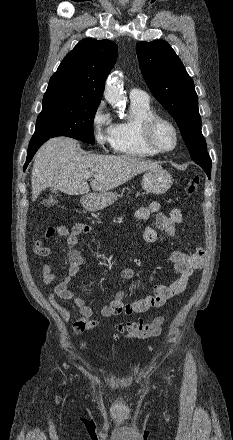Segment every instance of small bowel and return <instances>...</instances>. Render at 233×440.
I'll list each match as a JSON object with an SVG mask.
<instances>
[{
	"label": "small bowel",
	"mask_w": 233,
	"mask_h": 440,
	"mask_svg": "<svg viewBox=\"0 0 233 440\" xmlns=\"http://www.w3.org/2000/svg\"><path fill=\"white\" fill-rule=\"evenodd\" d=\"M151 215L155 216V227L164 230L170 236L176 239V248L170 255V260L178 274V277L170 285H155L154 294L145 298L126 303L124 301L125 292L118 290L113 298L98 311L102 317H111L121 314L133 315L141 314L153 308L162 307L169 299L182 293L188 284L190 277L195 270L201 269L205 261V252L201 246L196 248L194 253H189L182 242L176 236L177 227L182 223L183 215L178 208L172 209L169 214L161 212V205L157 201H152L148 206L141 207L135 211V218L139 220H147ZM155 227L146 226L143 231L144 240L148 243L158 241V232ZM92 227L85 223H77L70 229L60 225L48 228L43 237L45 240H53L56 238H66L68 248V258L70 267L66 278L57 284L53 293L48 297L50 305L59 313L61 319L68 322L72 315L71 312L59 303V299L71 301L78 308L80 317L72 324V333L74 335L82 334L86 331L93 330L99 326V322L92 319L93 310L86 304L85 300L77 297L69 289V283L77 277L82 265L84 257L76 248L79 236L88 234ZM34 252L41 257H47L51 253V248L43 240H36L33 244ZM43 286H49L56 279L57 275L53 271L51 264H45L42 268ZM135 271L131 268L123 269L115 276V281H124L132 279Z\"/></svg>",
	"instance_id": "1"
}]
</instances>
